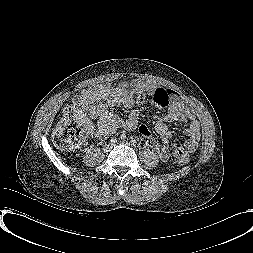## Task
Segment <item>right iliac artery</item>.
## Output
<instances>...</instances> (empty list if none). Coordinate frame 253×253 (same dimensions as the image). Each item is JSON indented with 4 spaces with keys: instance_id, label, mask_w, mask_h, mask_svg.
I'll use <instances>...</instances> for the list:
<instances>
[{
    "instance_id": "obj_1",
    "label": "right iliac artery",
    "mask_w": 253,
    "mask_h": 253,
    "mask_svg": "<svg viewBox=\"0 0 253 253\" xmlns=\"http://www.w3.org/2000/svg\"><path fill=\"white\" fill-rule=\"evenodd\" d=\"M117 140L116 139H112L111 142L115 143Z\"/></svg>"
}]
</instances>
